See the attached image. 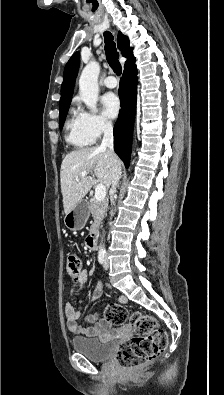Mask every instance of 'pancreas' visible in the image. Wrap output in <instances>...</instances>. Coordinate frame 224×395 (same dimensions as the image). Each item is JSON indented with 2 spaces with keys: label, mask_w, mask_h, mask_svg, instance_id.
I'll list each match as a JSON object with an SVG mask.
<instances>
[{
  "label": "pancreas",
  "mask_w": 224,
  "mask_h": 395,
  "mask_svg": "<svg viewBox=\"0 0 224 395\" xmlns=\"http://www.w3.org/2000/svg\"><path fill=\"white\" fill-rule=\"evenodd\" d=\"M108 200L104 199L102 201H97L96 199H90L89 202V212L92 214L94 219V224L92 225L91 230L95 227L99 226L102 222L105 212L107 210Z\"/></svg>",
  "instance_id": "1"
}]
</instances>
